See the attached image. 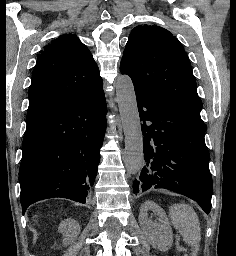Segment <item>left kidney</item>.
<instances>
[{
	"mask_svg": "<svg viewBox=\"0 0 236 256\" xmlns=\"http://www.w3.org/2000/svg\"><path fill=\"white\" fill-rule=\"evenodd\" d=\"M149 210H152L156 216H159L158 224L149 220ZM139 224L141 230L145 232L149 244H151L153 248H157L160 252L170 250L173 242V232L168 218L160 206H157V204L151 202V200H146L140 208Z\"/></svg>",
	"mask_w": 236,
	"mask_h": 256,
	"instance_id": "1",
	"label": "left kidney"
}]
</instances>
